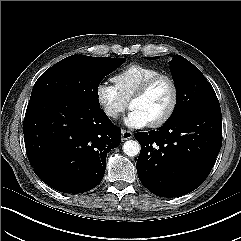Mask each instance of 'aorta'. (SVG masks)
Listing matches in <instances>:
<instances>
[{
  "mask_svg": "<svg viewBox=\"0 0 241 241\" xmlns=\"http://www.w3.org/2000/svg\"><path fill=\"white\" fill-rule=\"evenodd\" d=\"M124 153L130 157L137 156L141 150L140 144L136 140H128L122 147Z\"/></svg>",
  "mask_w": 241,
  "mask_h": 241,
  "instance_id": "1",
  "label": "aorta"
}]
</instances>
